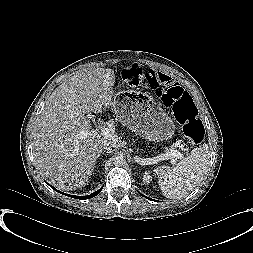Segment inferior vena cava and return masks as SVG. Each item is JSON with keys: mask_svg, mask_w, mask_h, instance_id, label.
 Segmentation results:
<instances>
[{"mask_svg": "<svg viewBox=\"0 0 253 253\" xmlns=\"http://www.w3.org/2000/svg\"><path fill=\"white\" fill-rule=\"evenodd\" d=\"M103 149H106L107 153H111L112 152V147L109 146V144H107Z\"/></svg>", "mask_w": 253, "mask_h": 253, "instance_id": "602c4592", "label": "inferior vena cava"}]
</instances>
